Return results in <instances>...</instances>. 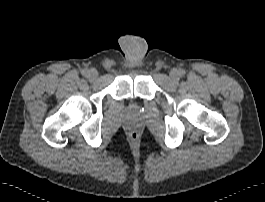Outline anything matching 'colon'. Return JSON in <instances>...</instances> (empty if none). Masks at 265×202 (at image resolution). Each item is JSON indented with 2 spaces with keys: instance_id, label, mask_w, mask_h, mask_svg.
<instances>
[{
  "instance_id": "1",
  "label": "colon",
  "mask_w": 265,
  "mask_h": 202,
  "mask_svg": "<svg viewBox=\"0 0 265 202\" xmlns=\"http://www.w3.org/2000/svg\"><path fill=\"white\" fill-rule=\"evenodd\" d=\"M130 137H131V139H132L133 141H138V140H139V135H138V133H136V132H132V133L130 134Z\"/></svg>"
}]
</instances>
